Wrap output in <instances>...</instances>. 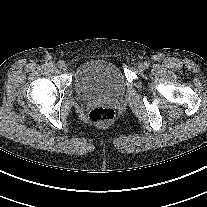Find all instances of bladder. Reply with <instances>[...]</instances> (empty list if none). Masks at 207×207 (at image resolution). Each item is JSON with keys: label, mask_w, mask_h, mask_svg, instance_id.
<instances>
[{"label": "bladder", "mask_w": 207, "mask_h": 207, "mask_svg": "<svg viewBox=\"0 0 207 207\" xmlns=\"http://www.w3.org/2000/svg\"><path fill=\"white\" fill-rule=\"evenodd\" d=\"M74 87L82 100L118 97L125 91V80L116 64L107 60L83 63L74 76Z\"/></svg>", "instance_id": "bladder-1"}]
</instances>
